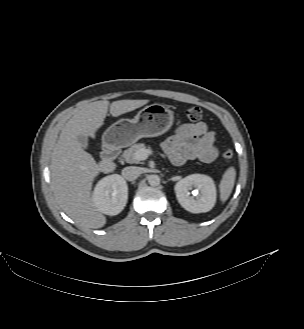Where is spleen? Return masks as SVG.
I'll list each match as a JSON object with an SVG mask.
<instances>
[{
  "instance_id": "1",
  "label": "spleen",
  "mask_w": 304,
  "mask_h": 329,
  "mask_svg": "<svg viewBox=\"0 0 304 329\" xmlns=\"http://www.w3.org/2000/svg\"><path fill=\"white\" fill-rule=\"evenodd\" d=\"M235 179L236 170L234 167L231 166L225 171L220 181L219 189L220 199L222 202H225L229 198L234 187Z\"/></svg>"
}]
</instances>
